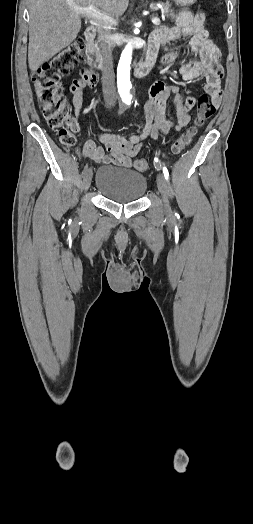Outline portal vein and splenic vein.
I'll return each instance as SVG.
<instances>
[{"instance_id":"portal-vein-and-splenic-vein-1","label":"portal vein and splenic vein","mask_w":253,"mask_h":524,"mask_svg":"<svg viewBox=\"0 0 253 524\" xmlns=\"http://www.w3.org/2000/svg\"><path fill=\"white\" fill-rule=\"evenodd\" d=\"M71 9L74 10L76 13H78L80 15H83L85 17L94 19V20H96L98 22H101L103 24H107V25H116L117 24L116 20L113 17H111L109 15H106L104 13H101L93 5H89L87 7H80V6H77V5H72ZM152 23L154 25H160V19L157 18V17H154V18H152Z\"/></svg>"}]
</instances>
